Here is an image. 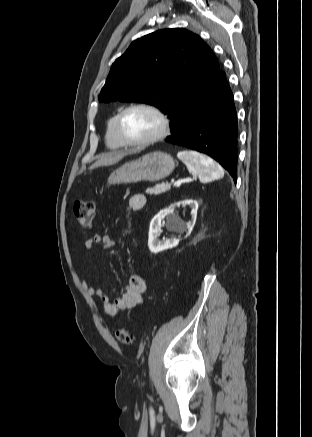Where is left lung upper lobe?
Returning a JSON list of instances; mask_svg holds the SVG:
<instances>
[{
    "mask_svg": "<svg viewBox=\"0 0 312 437\" xmlns=\"http://www.w3.org/2000/svg\"><path fill=\"white\" fill-rule=\"evenodd\" d=\"M220 72L210 47L188 30L164 29L135 40L113 63L99 102H141L171 120L172 131Z\"/></svg>",
    "mask_w": 312,
    "mask_h": 437,
    "instance_id": "obj_1",
    "label": "left lung upper lobe"
}]
</instances>
